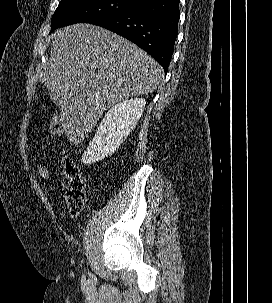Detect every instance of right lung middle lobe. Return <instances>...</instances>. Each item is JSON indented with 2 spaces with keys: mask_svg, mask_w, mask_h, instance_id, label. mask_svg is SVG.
Listing matches in <instances>:
<instances>
[{
  "mask_svg": "<svg viewBox=\"0 0 272 303\" xmlns=\"http://www.w3.org/2000/svg\"><path fill=\"white\" fill-rule=\"evenodd\" d=\"M134 0H61L51 20V31L75 23H93L129 10Z\"/></svg>",
  "mask_w": 272,
  "mask_h": 303,
  "instance_id": "obj_1",
  "label": "right lung middle lobe"
}]
</instances>
